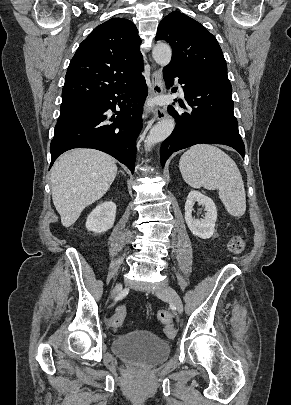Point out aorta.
I'll return each mask as SVG.
<instances>
[{
  "label": "aorta",
  "instance_id": "1",
  "mask_svg": "<svg viewBox=\"0 0 291 405\" xmlns=\"http://www.w3.org/2000/svg\"><path fill=\"white\" fill-rule=\"evenodd\" d=\"M152 55L157 64L167 66L171 61L172 51L168 44L157 43L153 48ZM175 121L173 118H167L152 127L149 135L145 140L146 149L164 141L173 131Z\"/></svg>",
  "mask_w": 291,
  "mask_h": 405
}]
</instances>
